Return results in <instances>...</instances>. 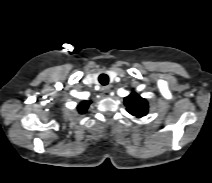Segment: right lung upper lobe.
<instances>
[{"label": "right lung upper lobe", "instance_id": "1", "mask_svg": "<svg viewBox=\"0 0 212 183\" xmlns=\"http://www.w3.org/2000/svg\"><path fill=\"white\" fill-rule=\"evenodd\" d=\"M91 101H83L79 104V106L77 107L78 111L80 113H85L87 111V108L89 107Z\"/></svg>", "mask_w": 212, "mask_h": 183}]
</instances>
